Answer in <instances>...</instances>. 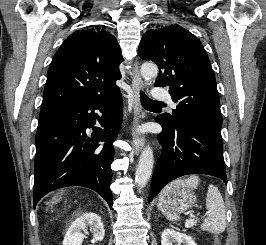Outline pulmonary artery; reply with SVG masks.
<instances>
[{
    "mask_svg": "<svg viewBox=\"0 0 266 245\" xmlns=\"http://www.w3.org/2000/svg\"><path fill=\"white\" fill-rule=\"evenodd\" d=\"M155 90H158V87H155ZM154 96L156 97L157 101H167L168 100V92L167 91H154L153 92ZM170 105L172 108L176 109V103H174L172 100L169 101Z\"/></svg>",
    "mask_w": 266,
    "mask_h": 245,
    "instance_id": "1",
    "label": "pulmonary artery"
}]
</instances>
